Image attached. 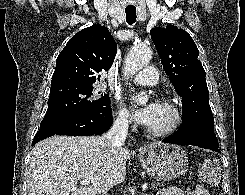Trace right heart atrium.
Instances as JSON below:
<instances>
[{
  "mask_svg": "<svg viewBox=\"0 0 245 195\" xmlns=\"http://www.w3.org/2000/svg\"><path fill=\"white\" fill-rule=\"evenodd\" d=\"M131 121L132 118L129 111L122 103L118 102L114 115L115 124L121 128H126L130 125Z\"/></svg>",
  "mask_w": 245,
  "mask_h": 195,
  "instance_id": "d8ad5b80",
  "label": "right heart atrium"
}]
</instances>
